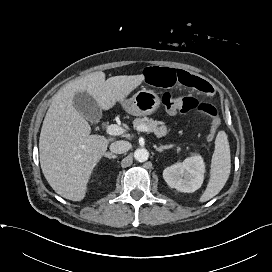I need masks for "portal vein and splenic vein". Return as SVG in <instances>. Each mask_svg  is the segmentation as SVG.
<instances>
[{
    "instance_id": "obj_1",
    "label": "portal vein and splenic vein",
    "mask_w": 272,
    "mask_h": 272,
    "mask_svg": "<svg viewBox=\"0 0 272 272\" xmlns=\"http://www.w3.org/2000/svg\"><path fill=\"white\" fill-rule=\"evenodd\" d=\"M138 131H141V132H150V130L142 125V126H139L137 128ZM106 132L109 134V135H121L124 133V129L116 124H111V125H108L107 128H106Z\"/></svg>"
}]
</instances>
